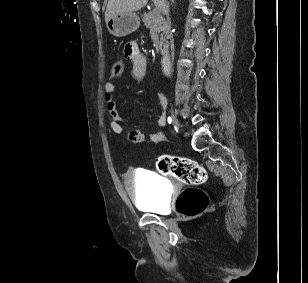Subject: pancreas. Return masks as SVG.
Returning <instances> with one entry per match:
<instances>
[{"label": "pancreas", "mask_w": 308, "mask_h": 283, "mask_svg": "<svg viewBox=\"0 0 308 283\" xmlns=\"http://www.w3.org/2000/svg\"><path fill=\"white\" fill-rule=\"evenodd\" d=\"M143 22L147 28L155 30L160 33V40L158 43V49L162 54L168 53L169 42V24L165 21L163 16L161 15V11H151L148 13H143Z\"/></svg>", "instance_id": "pancreas-1"}]
</instances>
